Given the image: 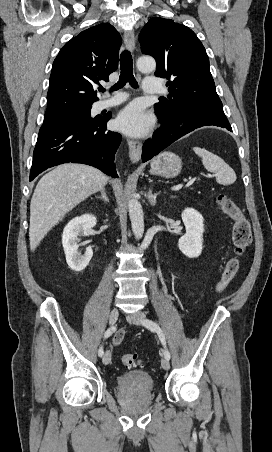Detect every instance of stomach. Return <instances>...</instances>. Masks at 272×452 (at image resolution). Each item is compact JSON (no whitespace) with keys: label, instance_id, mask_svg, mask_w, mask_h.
Instances as JSON below:
<instances>
[{"label":"stomach","instance_id":"1","mask_svg":"<svg viewBox=\"0 0 272 452\" xmlns=\"http://www.w3.org/2000/svg\"><path fill=\"white\" fill-rule=\"evenodd\" d=\"M182 167L181 158L172 152H163L151 162L150 173L165 178L176 177Z\"/></svg>","mask_w":272,"mask_h":452}]
</instances>
